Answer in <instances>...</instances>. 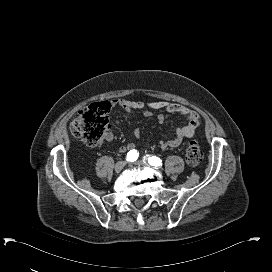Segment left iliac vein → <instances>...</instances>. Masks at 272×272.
<instances>
[{
	"instance_id": "1",
	"label": "left iliac vein",
	"mask_w": 272,
	"mask_h": 272,
	"mask_svg": "<svg viewBox=\"0 0 272 272\" xmlns=\"http://www.w3.org/2000/svg\"><path fill=\"white\" fill-rule=\"evenodd\" d=\"M134 164L138 165V166H146L147 165V163L145 161H142V160L136 161Z\"/></svg>"
}]
</instances>
